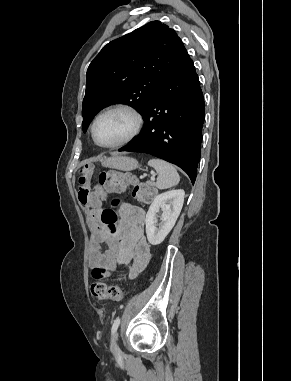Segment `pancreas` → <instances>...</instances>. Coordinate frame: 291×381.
I'll use <instances>...</instances> for the list:
<instances>
[{
	"mask_svg": "<svg viewBox=\"0 0 291 381\" xmlns=\"http://www.w3.org/2000/svg\"><path fill=\"white\" fill-rule=\"evenodd\" d=\"M148 185L151 186L155 190V188H154V182H152V181L148 182Z\"/></svg>",
	"mask_w": 291,
	"mask_h": 381,
	"instance_id": "cf45deb5",
	"label": "pancreas"
}]
</instances>
